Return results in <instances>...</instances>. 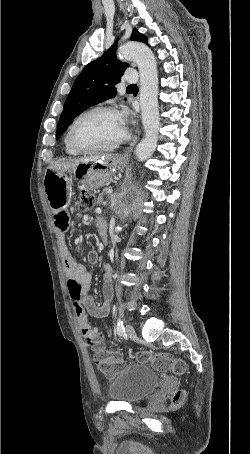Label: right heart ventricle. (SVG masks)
I'll return each mask as SVG.
<instances>
[{"instance_id": "1", "label": "right heart ventricle", "mask_w": 250, "mask_h": 454, "mask_svg": "<svg viewBox=\"0 0 250 454\" xmlns=\"http://www.w3.org/2000/svg\"><path fill=\"white\" fill-rule=\"evenodd\" d=\"M68 133H69V130L67 131L66 135H65V138H64V143H65V148H66V152L68 154H71V155H76L78 154L79 152H77L75 149H73L69 143V140H68Z\"/></svg>"}]
</instances>
